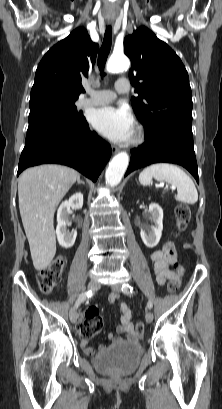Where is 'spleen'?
<instances>
[{
    "instance_id": "obj_1",
    "label": "spleen",
    "mask_w": 222,
    "mask_h": 409,
    "mask_svg": "<svg viewBox=\"0 0 222 409\" xmlns=\"http://www.w3.org/2000/svg\"><path fill=\"white\" fill-rule=\"evenodd\" d=\"M166 181L177 187L175 199L194 204L198 200V192L192 179L178 166L169 163H157L146 167L139 175V182L143 186L152 185V180Z\"/></svg>"
}]
</instances>
